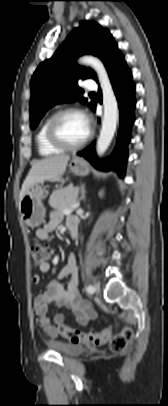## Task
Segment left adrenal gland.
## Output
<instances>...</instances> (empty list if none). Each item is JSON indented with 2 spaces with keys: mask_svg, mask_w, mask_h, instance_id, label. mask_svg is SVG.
Returning a JSON list of instances; mask_svg holds the SVG:
<instances>
[{
  "mask_svg": "<svg viewBox=\"0 0 168 406\" xmlns=\"http://www.w3.org/2000/svg\"><path fill=\"white\" fill-rule=\"evenodd\" d=\"M85 194H86V191H85V186L84 185H82L81 186V197H80V200H84L85 201Z\"/></svg>",
  "mask_w": 168,
  "mask_h": 406,
  "instance_id": "obj_1",
  "label": "left adrenal gland"
}]
</instances>
